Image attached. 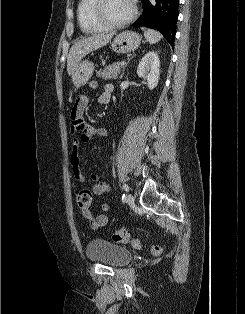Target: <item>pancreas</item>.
Masks as SVG:
<instances>
[{"instance_id": "cf45deb5", "label": "pancreas", "mask_w": 245, "mask_h": 314, "mask_svg": "<svg viewBox=\"0 0 245 314\" xmlns=\"http://www.w3.org/2000/svg\"><path fill=\"white\" fill-rule=\"evenodd\" d=\"M121 71V63L116 62L97 72V77L104 80L117 79Z\"/></svg>"}]
</instances>
